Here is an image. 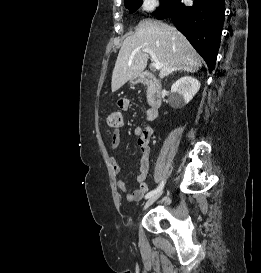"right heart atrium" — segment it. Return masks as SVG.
Returning <instances> with one entry per match:
<instances>
[{"label":"right heart atrium","instance_id":"1","mask_svg":"<svg viewBox=\"0 0 261 273\" xmlns=\"http://www.w3.org/2000/svg\"><path fill=\"white\" fill-rule=\"evenodd\" d=\"M158 6V0H141L140 7L143 11L149 12Z\"/></svg>","mask_w":261,"mask_h":273}]
</instances>
